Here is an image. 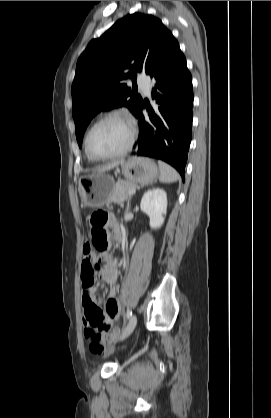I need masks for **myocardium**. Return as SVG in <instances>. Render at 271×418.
I'll use <instances>...</instances> for the list:
<instances>
[{
	"label": "myocardium",
	"instance_id": "myocardium-1",
	"mask_svg": "<svg viewBox=\"0 0 271 418\" xmlns=\"http://www.w3.org/2000/svg\"><path fill=\"white\" fill-rule=\"evenodd\" d=\"M113 119H115V120H122V121L126 122L130 126L131 133H130V137H129L128 143L126 144V146L122 150H120V151H118L116 153L110 154V155L99 156V155L93 154L91 152V150H90V147H89V138H90L91 133L93 132V130L99 124H101V123H103V122H105L107 120H113ZM135 139H136V128L133 125V123L125 115H123L121 113H114L113 112V113H107V114L103 115L102 117H100L99 119H97L91 125V127L88 129V131L86 133V136H85L84 147H85L86 154L91 159L96 160V161H105V160L116 159V158L122 157V156L126 155L127 153H129L131 151L133 145H134Z\"/></svg>",
	"mask_w": 271,
	"mask_h": 418
}]
</instances>
